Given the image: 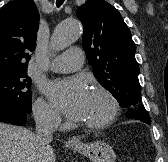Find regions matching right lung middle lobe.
<instances>
[{
	"label": "right lung middle lobe",
	"mask_w": 168,
	"mask_h": 162,
	"mask_svg": "<svg viewBox=\"0 0 168 162\" xmlns=\"http://www.w3.org/2000/svg\"><path fill=\"white\" fill-rule=\"evenodd\" d=\"M30 87L27 71L0 76V108L31 112Z\"/></svg>",
	"instance_id": "obj_1"
}]
</instances>
